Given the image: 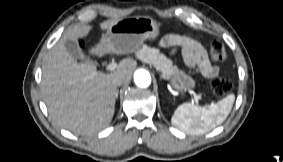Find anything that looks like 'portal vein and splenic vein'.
Masks as SVG:
<instances>
[{"instance_id": "18ae733b", "label": "portal vein and splenic vein", "mask_w": 283, "mask_h": 162, "mask_svg": "<svg viewBox=\"0 0 283 162\" xmlns=\"http://www.w3.org/2000/svg\"><path fill=\"white\" fill-rule=\"evenodd\" d=\"M116 68H117V64H116V63H110V64L106 67V70H108V71H113V70H115ZM194 99H195L196 104L198 105V100H200L201 97L198 96V95H194Z\"/></svg>"}]
</instances>
